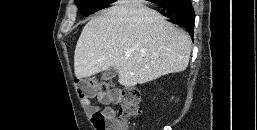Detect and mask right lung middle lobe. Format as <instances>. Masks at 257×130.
Returning a JSON list of instances; mask_svg holds the SVG:
<instances>
[{
	"mask_svg": "<svg viewBox=\"0 0 257 130\" xmlns=\"http://www.w3.org/2000/svg\"><path fill=\"white\" fill-rule=\"evenodd\" d=\"M75 2L80 9V13L84 16L94 13L112 3L109 0H75Z\"/></svg>",
	"mask_w": 257,
	"mask_h": 130,
	"instance_id": "1",
	"label": "right lung middle lobe"
}]
</instances>
